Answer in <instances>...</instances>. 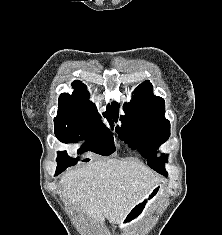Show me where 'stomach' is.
<instances>
[{
  "label": "stomach",
  "instance_id": "obj_1",
  "mask_svg": "<svg viewBox=\"0 0 222 235\" xmlns=\"http://www.w3.org/2000/svg\"><path fill=\"white\" fill-rule=\"evenodd\" d=\"M164 195V186L157 184L153 186L129 211L124 220L120 223V229L127 231L132 225L142 220L149 209Z\"/></svg>",
  "mask_w": 222,
  "mask_h": 235
}]
</instances>
